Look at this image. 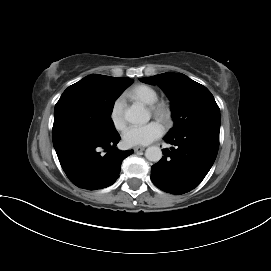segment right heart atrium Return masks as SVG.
I'll list each match as a JSON object with an SVG mask.
<instances>
[{
	"instance_id": "obj_1",
	"label": "right heart atrium",
	"mask_w": 271,
	"mask_h": 271,
	"mask_svg": "<svg viewBox=\"0 0 271 271\" xmlns=\"http://www.w3.org/2000/svg\"><path fill=\"white\" fill-rule=\"evenodd\" d=\"M124 104V98L119 96L113 102L110 110V120L114 127L118 130L122 129L125 125Z\"/></svg>"
}]
</instances>
